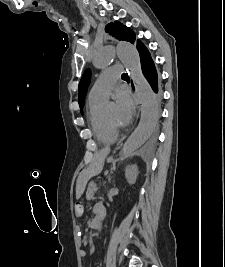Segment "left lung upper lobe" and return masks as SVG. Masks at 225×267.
Segmentation results:
<instances>
[{
	"label": "left lung upper lobe",
	"instance_id": "1",
	"mask_svg": "<svg viewBox=\"0 0 225 267\" xmlns=\"http://www.w3.org/2000/svg\"><path fill=\"white\" fill-rule=\"evenodd\" d=\"M105 30H106V32L111 33L113 36H115L119 40L128 41L132 44H134V42H135L134 32L130 28L123 26L121 23H119L117 21L114 23L108 24L106 26ZM89 82H90V70L87 69L84 72V74L81 78V81L79 83V86H78L79 87L78 102H79V106L81 109V113H82V109L84 106V100H85V96H86ZM158 117H159V108H158Z\"/></svg>",
	"mask_w": 225,
	"mask_h": 267
}]
</instances>
